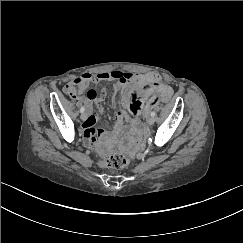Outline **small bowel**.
<instances>
[{
  "instance_id": "obj_1",
  "label": "small bowel",
  "mask_w": 243,
  "mask_h": 243,
  "mask_svg": "<svg viewBox=\"0 0 243 243\" xmlns=\"http://www.w3.org/2000/svg\"><path fill=\"white\" fill-rule=\"evenodd\" d=\"M101 81H116L113 87L115 92L125 89L122 106L133 116L144 112L148 113L164 98H169L172 94L171 87L163 83L156 73L138 74L113 70L97 74L86 72L75 77L64 86V91L73 99L85 100L90 104L88 114L82 124L83 136L90 145L96 143V134L98 133L95 128L98 115L92 109L91 104L99 101V97L94 90H89L86 95H84V91L91 82ZM97 110L101 111V106H97ZM123 116V112H116V118L119 122ZM131 120L136 123L135 119Z\"/></svg>"
}]
</instances>
